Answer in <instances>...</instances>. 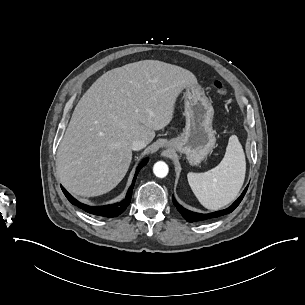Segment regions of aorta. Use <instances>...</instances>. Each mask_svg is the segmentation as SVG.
<instances>
[{
  "mask_svg": "<svg viewBox=\"0 0 305 305\" xmlns=\"http://www.w3.org/2000/svg\"><path fill=\"white\" fill-rule=\"evenodd\" d=\"M169 171L168 165L163 161H158L153 166V173L156 177L164 178L167 176Z\"/></svg>",
  "mask_w": 305,
  "mask_h": 305,
  "instance_id": "762f6f07",
  "label": "aorta"
}]
</instances>
